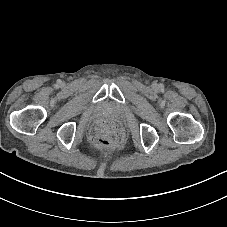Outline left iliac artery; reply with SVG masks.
I'll return each mask as SVG.
<instances>
[{"mask_svg":"<svg viewBox=\"0 0 227 227\" xmlns=\"http://www.w3.org/2000/svg\"><path fill=\"white\" fill-rule=\"evenodd\" d=\"M159 88L163 90L164 89V85L162 83H160L159 84Z\"/></svg>","mask_w":227,"mask_h":227,"instance_id":"obj_1","label":"left iliac artery"}]
</instances>
